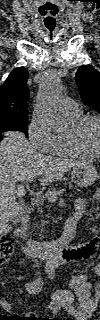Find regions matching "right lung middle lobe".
<instances>
[{"label": "right lung middle lobe", "mask_w": 100, "mask_h": 320, "mask_svg": "<svg viewBox=\"0 0 100 320\" xmlns=\"http://www.w3.org/2000/svg\"><path fill=\"white\" fill-rule=\"evenodd\" d=\"M28 118H13L0 120V133L5 131H21L27 135Z\"/></svg>", "instance_id": "obj_1"}]
</instances>
